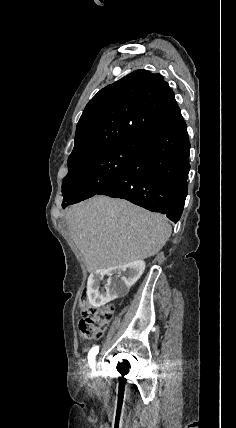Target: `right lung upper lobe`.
<instances>
[{
    "label": "right lung upper lobe",
    "mask_w": 236,
    "mask_h": 428,
    "mask_svg": "<svg viewBox=\"0 0 236 428\" xmlns=\"http://www.w3.org/2000/svg\"><path fill=\"white\" fill-rule=\"evenodd\" d=\"M178 110L174 92L160 74L136 70L100 90L86 105L67 164L138 139Z\"/></svg>",
    "instance_id": "1"
}]
</instances>
